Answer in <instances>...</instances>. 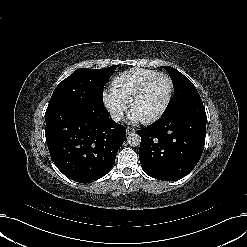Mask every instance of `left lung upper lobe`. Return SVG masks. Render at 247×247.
<instances>
[{
    "label": "left lung upper lobe",
    "instance_id": "5c2ea615",
    "mask_svg": "<svg viewBox=\"0 0 247 247\" xmlns=\"http://www.w3.org/2000/svg\"><path fill=\"white\" fill-rule=\"evenodd\" d=\"M164 68L168 71L174 87V99L165 116L174 114L192 103L201 101L196 87L186 76L170 66H164Z\"/></svg>",
    "mask_w": 247,
    "mask_h": 247
}]
</instances>
